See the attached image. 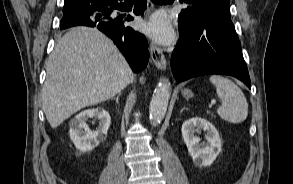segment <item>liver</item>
I'll list each match as a JSON object with an SVG mask.
<instances>
[{"label": "liver", "mask_w": 293, "mask_h": 184, "mask_svg": "<svg viewBox=\"0 0 293 184\" xmlns=\"http://www.w3.org/2000/svg\"><path fill=\"white\" fill-rule=\"evenodd\" d=\"M46 71L41 97L53 129L79 110L114 97L134 79L113 42L96 28L83 26L59 39Z\"/></svg>", "instance_id": "obj_1"}]
</instances>
